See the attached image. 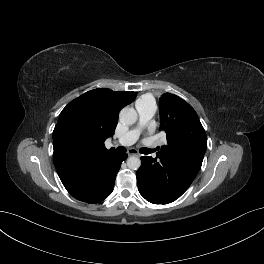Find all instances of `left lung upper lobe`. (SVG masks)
<instances>
[{"label":"left lung upper lobe","instance_id":"1","mask_svg":"<svg viewBox=\"0 0 264 264\" xmlns=\"http://www.w3.org/2000/svg\"><path fill=\"white\" fill-rule=\"evenodd\" d=\"M160 130L167 135V144L158 148L163 155L185 154V161L203 158L207 136L194 109L180 97L165 93L160 98Z\"/></svg>","mask_w":264,"mask_h":264}]
</instances>
